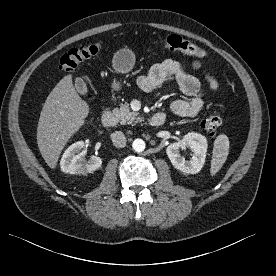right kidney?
<instances>
[{
    "mask_svg": "<svg viewBox=\"0 0 276 276\" xmlns=\"http://www.w3.org/2000/svg\"><path fill=\"white\" fill-rule=\"evenodd\" d=\"M84 147L85 143L78 141L66 149L60 161V167L63 172L87 175L101 167L102 160L98 156H92L88 161L85 160Z\"/></svg>",
    "mask_w": 276,
    "mask_h": 276,
    "instance_id": "obj_1",
    "label": "right kidney"
}]
</instances>
